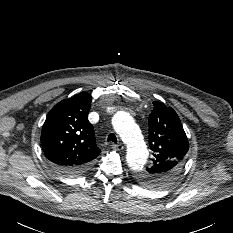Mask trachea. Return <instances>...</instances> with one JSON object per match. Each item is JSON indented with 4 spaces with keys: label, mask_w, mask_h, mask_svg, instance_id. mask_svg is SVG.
Returning <instances> with one entry per match:
<instances>
[{
    "label": "trachea",
    "mask_w": 233,
    "mask_h": 233,
    "mask_svg": "<svg viewBox=\"0 0 233 233\" xmlns=\"http://www.w3.org/2000/svg\"><path fill=\"white\" fill-rule=\"evenodd\" d=\"M108 141H112L114 143H117V138L115 136V134L111 133L109 136H108Z\"/></svg>",
    "instance_id": "trachea-1"
}]
</instances>
